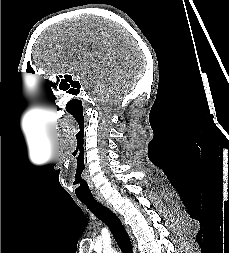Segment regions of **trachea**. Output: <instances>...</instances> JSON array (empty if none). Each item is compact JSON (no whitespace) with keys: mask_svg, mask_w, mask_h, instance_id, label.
Here are the masks:
<instances>
[{"mask_svg":"<svg viewBox=\"0 0 229 253\" xmlns=\"http://www.w3.org/2000/svg\"><path fill=\"white\" fill-rule=\"evenodd\" d=\"M86 207L110 229L122 253H133L130 238L120 219L109 208L99 203L93 196L79 198Z\"/></svg>","mask_w":229,"mask_h":253,"instance_id":"3493384b","label":"trachea"}]
</instances>
